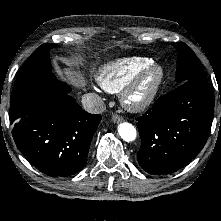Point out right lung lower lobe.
Returning a JSON list of instances; mask_svg holds the SVG:
<instances>
[{"instance_id": "1", "label": "right lung lower lobe", "mask_w": 221, "mask_h": 221, "mask_svg": "<svg viewBox=\"0 0 221 221\" xmlns=\"http://www.w3.org/2000/svg\"><path fill=\"white\" fill-rule=\"evenodd\" d=\"M55 79L39 81L11 96L10 122L19 149L41 172L73 175L86 164L101 116L84 111Z\"/></svg>"}]
</instances>
